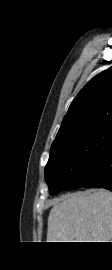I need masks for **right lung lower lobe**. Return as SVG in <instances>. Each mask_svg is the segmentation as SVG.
I'll list each match as a JSON object with an SVG mask.
<instances>
[{
    "label": "right lung lower lobe",
    "instance_id": "98d812e1",
    "mask_svg": "<svg viewBox=\"0 0 112 270\" xmlns=\"http://www.w3.org/2000/svg\"><path fill=\"white\" fill-rule=\"evenodd\" d=\"M81 186L106 188L112 191V143L90 164Z\"/></svg>",
    "mask_w": 112,
    "mask_h": 270
}]
</instances>
